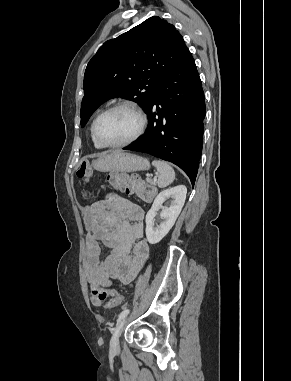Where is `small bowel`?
Listing matches in <instances>:
<instances>
[{"label": "small bowel", "instance_id": "obj_1", "mask_svg": "<svg viewBox=\"0 0 291 381\" xmlns=\"http://www.w3.org/2000/svg\"><path fill=\"white\" fill-rule=\"evenodd\" d=\"M89 233L86 236L84 272L90 287H109L113 279L133 281L149 256V244L143 239L144 211L128 200L115 204L98 202L82 208ZM107 217L111 219L109 224ZM100 243L109 253L101 258ZM94 305L101 301L91 297Z\"/></svg>", "mask_w": 291, "mask_h": 381}]
</instances>
